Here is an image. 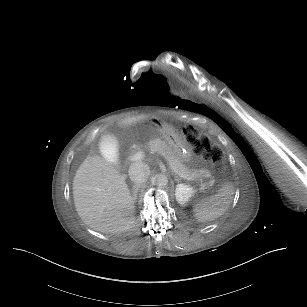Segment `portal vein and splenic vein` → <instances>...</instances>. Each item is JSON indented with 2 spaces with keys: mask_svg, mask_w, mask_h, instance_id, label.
Listing matches in <instances>:
<instances>
[{
  "mask_svg": "<svg viewBox=\"0 0 307 307\" xmlns=\"http://www.w3.org/2000/svg\"><path fill=\"white\" fill-rule=\"evenodd\" d=\"M145 155H146L145 151L139 148V149L136 150L135 153L131 154L129 158L133 162L136 161V160L140 161V160H142L145 157ZM196 183L199 185V188L201 190L205 189V186H204V184H203L201 179L200 180H196Z\"/></svg>",
  "mask_w": 307,
  "mask_h": 307,
  "instance_id": "obj_1",
  "label": "portal vein and splenic vein"
}]
</instances>
